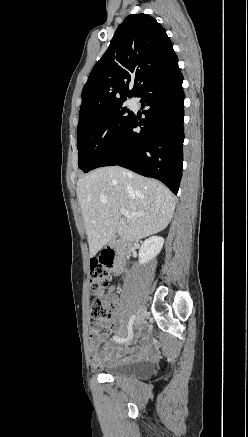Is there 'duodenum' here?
Segmentation results:
<instances>
[{"label": "duodenum", "instance_id": "1", "mask_svg": "<svg viewBox=\"0 0 248 437\" xmlns=\"http://www.w3.org/2000/svg\"><path fill=\"white\" fill-rule=\"evenodd\" d=\"M127 252L128 248L126 244L120 242L106 248H100L99 255L100 257H107L112 264H115L117 261L123 259Z\"/></svg>", "mask_w": 248, "mask_h": 437}]
</instances>
